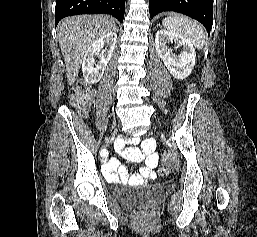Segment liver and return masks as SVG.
Returning <instances> with one entry per match:
<instances>
[{"label": "liver", "instance_id": "liver-1", "mask_svg": "<svg viewBox=\"0 0 257 237\" xmlns=\"http://www.w3.org/2000/svg\"><path fill=\"white\" fill-rule=\"evenodd\" d=\"M116 29L114 19L105 15H78L60 22L58 39L69 85L75 82L88 47Z\"/></svg>", "mask_w": 257, "mask_h": 237}]
</instances>
